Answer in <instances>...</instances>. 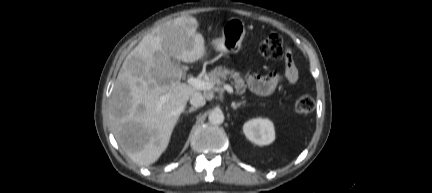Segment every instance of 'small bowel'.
Segmentation results:
<instances>
[{"label":"small bowel","instance_id":"obj_1","mask_svg":"<svg viewBox=\"0 0 432 193\" xmlns=\"http://www.w3.org/2000/svg\"><path fill=\"white\" fill-rule=\"evenodd\" d=\"M297 79L298 72L291 59H287L283 74L270 73L264 76L251 72L246 74V82L249 89L253 93L263 96L273 93L282 82L294 84Z\"/></svg>","mask_w":432,"mask_h":193}]
</instances>
